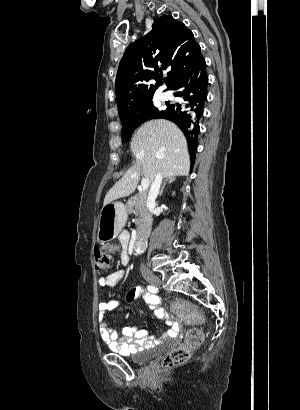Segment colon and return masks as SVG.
<instances>
[{
  "mask_svg": "<svg viewBox=\"0 0 300 410\" xmlns=\"http://www.w3.org/2000/svg\"><path fill=\"white\" fill-rule=\"evenodd\" d=\"M94 259L96 269L100 272L107 271L112 265V258L108 250L95 248ZM172 308L184 320L186 327H193L194 324L203 322L204 318L201 312L188 302L175 301ZM202 342L203 334L199 329L188 330L184 343L164 356L162 366L170 368L184 364L189 359L191 351L198 348Z\"/></svg>",
  "mask_w": 300,
  "mask_h": 410,
  "instance_id": "5ec220e1",
  "label": "colon"
}]
</instances>
